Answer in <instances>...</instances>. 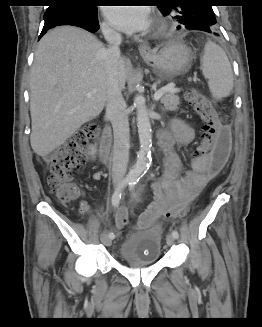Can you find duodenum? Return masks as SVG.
Here are the masks:
<instances>
[{"label":"duodenum","mask_w":262,"mask_h":327,"mask_svg":"<svg viewBox=\"0 0 262 327\" xmlns=\"http://www.w3.org/2000/svg\"><path fill=\"white\" fill-rule=\"evenodd\" d=\"M112 133L109 125H106L102 132L100 141V157L104 162H108L111 158Z\"/></svg>","instance_id":"obj_1"}]
</instances>
